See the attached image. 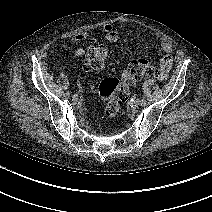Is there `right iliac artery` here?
Wrapping results in <instances>:
<instances>
[{"mask_svg": "<svg viewBox=\"0 0 212 212\" xmlns=\"http://www.w3.org/2000/svg\"><path fill=\"white\" fill-rule=\"evenodd\" d=\"M64 95H65L66 98H69L70 97V92L67 91Z\"/></svg>", "mask_w": 212, "mask_h": 212, "instance_id": "1", "label": "right iliac artery"}]
</instances>
